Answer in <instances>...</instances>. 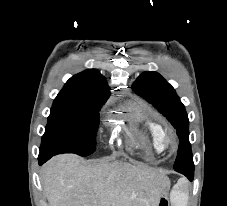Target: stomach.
<instances>
[{
  "label": "stomach",
  "instance_id": "obj_1",
  "mask_svg": "<svg viewBox=\"0 0 227 206\" xmlns=\"http://www.w3.org/2000/svg\"><path fill=\"white\" fill-rule=\"evenodd\" d=\"M167 191L162 192V196L160 197V201L158 206H168V202H167Z\"/></svg>",
  "mask_w": 227,
  "mask_h": 206
}]
</instances>
